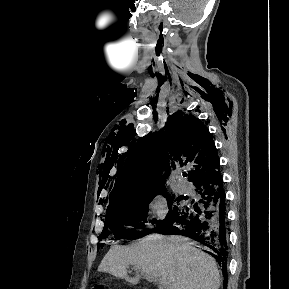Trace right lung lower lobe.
<instances>
[{"instance_id":"98d812e1","label":"right lung lower lobe","mask_w":289,"mask_h":289,"mask_svg":"<svg viewBox=\"0 0 289 289\" xmlns=\"http://www.w3.org/2000/svg\"><path fill=\"white\" fill-rule=\"evenodd\" d=\"M193 184L199 194L198 199L190 204H183L177 212L156 224L150 232L188 236L210 249L222 267L226 285L229 223L222 175L218 170L202 176Z\"/></svg>"}]
</instances>
